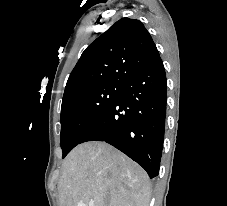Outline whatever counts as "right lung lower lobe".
<instances>
[{
  "label": "right lung lower lobe",
  "mask_w": 227,
  "mask_h": 206,
  "mask_svg": "<svg viewBox=\"0 0 227 206\" xmlns=\"http://www.w3.org/2000/svg\"><path fill=\"white\" fill-rule=\"evenodd\" d=\"M166 75L161 58L127 77L116 101L83 136L116 147L141 165L150 178L159 173L165 114Z\"/></svg>",
  "instance_id": "98d812e1"
}]
</instances>
